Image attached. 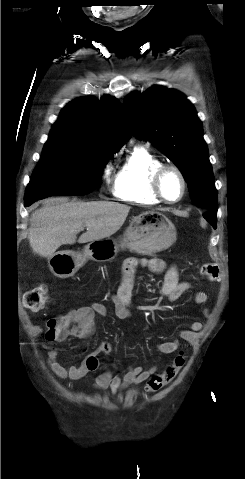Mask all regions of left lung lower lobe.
<instances>
[{"mask_svg":"<svg viewBox=\"0 0 245 479\" xmlns=\"http://www.w3.org/2000/svg\"><path fill=\"white\" fill-rule=\"evenodd\" d=\"M205 219H207L214 228H216L217 223V208L209 209L205 211L203 215Z\"/></svg>","mask_w":245,"mask_h":479,"instance_id":"left-lung-lower-lobe-1","label":"left lung lower lobe"}]
</instances>
